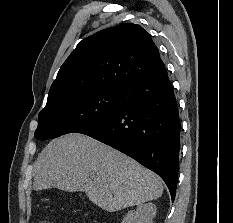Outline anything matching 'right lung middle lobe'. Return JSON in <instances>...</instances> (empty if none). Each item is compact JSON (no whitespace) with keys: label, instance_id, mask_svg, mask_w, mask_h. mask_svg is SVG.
Listing matches in <instances>:
<instances>
[{"label":"right lung middle lobe","instance_id":"1","mask_svg":"<svg viewBox=\"0 0 233 223\" xmlns=\"http://www.w3.org/2000/svg\"><path fill=\"white\" fill-rule=\"evenodd\" d=\"M119 88H92L47 102L38 116L35 138L51 139L99 122L119 109Z\"/></svg>","mask_w":233,"mask_h":223}]
</instances>
